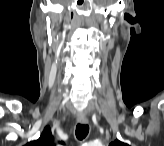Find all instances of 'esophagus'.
Returning <instances> with one entry per match:
<instances>
[{"instance_id": "obj_1", "label": "esophagus", "mask_w": 164, "mask_h": 146, "mask_svg": "<svg viewBox=\"0 0 164 146\" xmlns=\"http://www.w3.org/2000/svg\"><path fill=\"white\" fill-rule=\"evenodd\" d=\"M77 120L81 124H87L88 123V119H86V118H78Z\"/></svg>"}]
</instances>
